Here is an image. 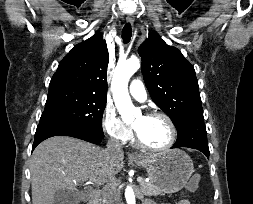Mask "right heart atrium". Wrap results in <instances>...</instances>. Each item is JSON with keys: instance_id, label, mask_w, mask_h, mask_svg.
Instances as JSON below:
<instances>
[{"instance_id": "d8ad5b80", "label": "right heart atrium", "mask_w": 253, "mask_h": 204, "mask_svg": "<svg viewBox=\"0 0 253 204\" xmlns=\"http://www.w3.org/2000/svg\"><path fill=\"white\" fill-rule=\"evenodd\" d=\"M104 133L118 143H126L132 138V128L127 125L112 107H106L102 115Z\"/></svg>"}]
</instances>
